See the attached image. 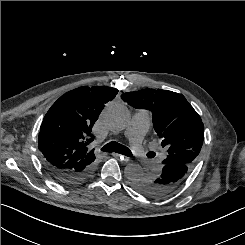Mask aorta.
Masks as SVG:
<instances>
[{
  "mask_svg": "<svg viewBox=\"0 0 245 245\" xmlns=\"http://www.w3.org/2000/svg\"><path fill=\"white\" fill-rule=\"evenodd\" d=\"M104 120L114 130L125 129L130 122V112L122 104H112L104 111ZM126 178L132 182L144 175L143 168L137 163H129L124 169Z\"/></svg>",
  "mask_w": 245,
  "mask_h": 245,
  "instance_id": "1",
  "label": "aorta"
}]
</instances>
